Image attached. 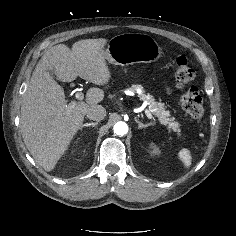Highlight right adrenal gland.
Segmentation results:
<instances>
[{
  "label": "right adrenal gland",
  "mask_w": 236,
  "mask_h": 236,
  "mask_svg": "<svg viewBox=\"0 0 236 236\" xmlns=\"http://www.w3.org/2000/svg\"><path fill=\"white\" fill-rule=\"evenodd\" d=\"M97 124H98V122H91V123L82 124L81 130H82L84 127H89V126L95 127Z\"/></svg>",
  "instance_id": "2a0ac1e0"
}]
</instances>
